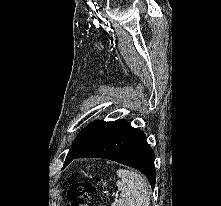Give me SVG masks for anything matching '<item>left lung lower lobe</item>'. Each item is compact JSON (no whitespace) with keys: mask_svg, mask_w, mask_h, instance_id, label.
I'll return each instance as SVG.
<instances>
[{"mask_svg":"<svg viewBox=\"0 0 221 206\" xmlns=\"http://www.w3.org/2000/svg\"><path fill=\"white\" fill-rule=\"evenodd\" d=\"M81 157L104 158L141 171L155 186L154 153L147 144L145 134L125 120L113 121L88 146L65 161L64 167L73 159Z\"/></svg>","mask_w":221,"mask_h":206,"instance_id":"0a47b994","label":"left lung lower lobe"}]
</instances>
